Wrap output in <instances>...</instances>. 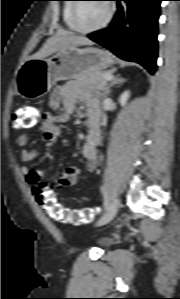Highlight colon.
Returning a JSON list of instances; mask_svg holds the SVG:
<instances>
[{"label": "colon", "instance_id": "obj_1", "mask_svg": "<svg viewBox=\"0 0 180 299\" xmlns=\"http://www.w3.org/2000/svg\"><path fill=\"white\" fill-rule=\"evenodd\" d=\"M41 121V114L37 109L21 107L13 113V124L19 129L33 128ZM34 194L38 204L52 218L63 223L86 224L92 222L95 209L81 208L69 209L61 206L56 199L52 187L47 183L34 185Z\"/></svg>", "mask_w": 180, "mask_h": 299}]
</instances>
